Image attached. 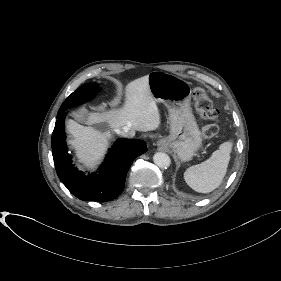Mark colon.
<instances>
[{"label":"colon","instance_id":"colon-1","mask_svg":"<svg viewBox=\"0 0 281 281\" xmlns=\"http://www.w3.org/2000/svg\"><path fill=\"white\" fill-rule=\"evenodd\" d=\"M194 99L197 109L205 122L202 128V136L204 139H212L219 132L217 123L219 112L204 89L196 88L194 90Z\"/></svg>","mask_w":281,"mask_h":281}]
</instances>
